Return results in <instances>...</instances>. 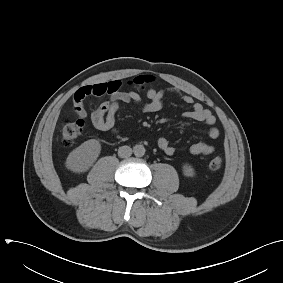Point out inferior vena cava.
I'll return each instance as SVG.
<instances>
[{
	"mask_svg": "<svg viewBox=\"0 0 283 283\" xmlns=\"http://www.w3.org/2000/svg\"><path fill=\"white\" fill-rule=\"evenodd\" d=\"M132 149L129 146H121L118 149V156L120 158H127L130 157L132 155Z\"/></svg>",
	"mask_w": 283,
	"mask_h": 283,
	"instance_id": "obj_1",
	"label": "inferior vena cava"
}]
</instances>
